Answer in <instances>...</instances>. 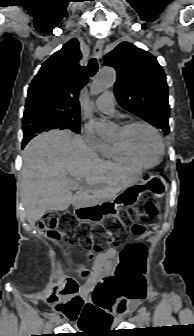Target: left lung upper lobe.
Here are the masks:
<instances>
[{
    "instance_id": "left-lung-upper-lobe-1",
    "label": "left lung upper lobe",
    "mask_w": 194,
    "mask_h": 336,
    "mask_svg": "<svg viewBox=\"0 0 194 336\" xmlns=\"http://www.w3.org/2000/svg\"><path fill=\"white\" fill-rule=\"evenodd\" d=\"M104 63L117 71L114 92L119 105L168 134V85L156 58L122 42L105 56Z\"/></svg>"
}]
</instances>
